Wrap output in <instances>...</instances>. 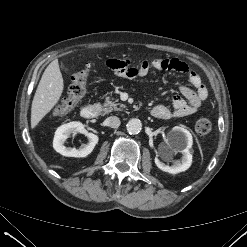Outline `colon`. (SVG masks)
<instances>
[{
	"instance_id": "5ec220e1",
	"label": "colon",
	"mask_w": 247,
	"mask_h": 247,
	"mask_svg": "<svg viewBox=\"0 0 247 247\" xmlns=\"http://www.w3.org/2000/svg\"><path fill=\"white\" fill-rule=\"evenodd\" d=\"M91 66L76 72L71 78L67 97L54 109V115H65L69 113L78 102L84 97L86 92V82ZM195 131L200 135L208 134L212 129V123L207 117H200L194 125Z\"/></svg>"
}]
</instances>
